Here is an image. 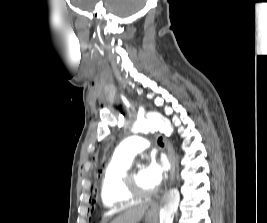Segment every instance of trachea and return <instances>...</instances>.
<instances>
[{"mask_svg":"<svg viewBox=\"0 0 267 223\" xmlns=\"http://www.w3.org/2000/svg\"><path fill=\"white\" fill-rule=\"evenodd\" d=\"M158 144L160 145V146H163L164 144H163V139H162V137H159L158 138Z\"/></svg>","mask_w":267,"mask_h":223,"instance_id":"obj_1","label":"trachea"}]
</instances>
